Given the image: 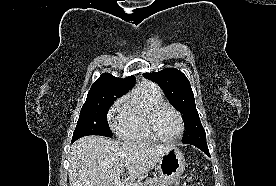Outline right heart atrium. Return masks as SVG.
I'll use <instances>...</instances> for the list:
<instances>
[{"instance_id":"obj_1","label":"right heart atrium","mask_w":276,"mask_h":186,"mask_svg":"<svg viewBox=\"0 0 276 186\" xmlns=\"http://www.w3.org/2000/svg\"><path fill=\"white\" fill-rule=\"evenodd\" d=\"M122 102L123 99H118L109 110V120L114 128L118 127L121 119V114L123 110Z\"/></svg>"}]
</instances>
